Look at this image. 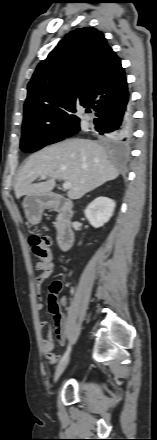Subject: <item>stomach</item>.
<instances>
[{"instance_id":"0dacf381","label":"stomach","mask_w":157,"mask_h":440,"mask_svg":"<svg viewBox=\"0 0 157 440\" xmlns=\"http://www.w3.org/2000/svg\"><path fill=\"white\" fill-rule=\"evenodd\" d=\"M47 206L46 198L43 196L28 195L23 201L25 215L31 224H38L42 212Z\"/></svg>"}]
</instances>
